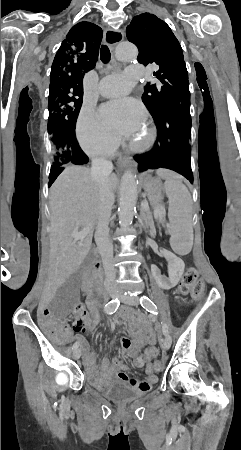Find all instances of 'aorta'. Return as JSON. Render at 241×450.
<instances>
[{
    "mask_svg": "<svg viewBox=\"0 0 241 450\" xmlns=\"http://www.w3.org/2000/svg\"><path fill=\"white\" fill-rule=\"evenodd\" d=\"M116 58L119 61H129L138 55V50L131 43H121L116 48ZM137 201L136 176L131 170L126 171L121 179L120 203H119V224L122 228H128L133 221L135 206Z\"/></svg>",
    "mask_w": 241,
    "mask_h": 450,
    "instance_id": "aorta-1",
    "label": "aorta"
}]
</instances>
